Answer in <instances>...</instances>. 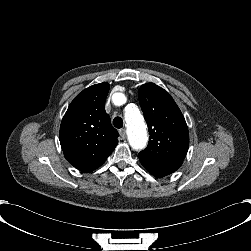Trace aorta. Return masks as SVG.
<instances>
[{
	"instance_id": "762f6f07",
	"label": "aorta",
	"mask_w": 251,
	"mask_h": 251,
	"mask_svg": "<svg viewBox=\"0 0 251 251\" xmlns=\"http://www.w3.org/2000/svg\"><path fill=\"white\" fill-rule=\"evenodd\" d=\"M126 133L128 141L134 149H143L147 144L146 124L143 116L134 105L126 108Z\"/></svg>"
}]
</instances>
